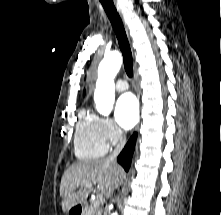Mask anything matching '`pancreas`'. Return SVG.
<instances>
[{
  "label": "pancreas",
  "mask_w": 221,
  "mask_h": 215,
  "mask_svg": "<svg viewBox=\"0 0 221 215\" xmlns=\"http://www.w3.org/2000/svg\"><path fill=\"white\" fill-rule=\"evenodd\" d=\"M83 215H101V209L95 206H89L85 209Z\"/></svg>",
  "instance_id": "1"
}]
</instances>
